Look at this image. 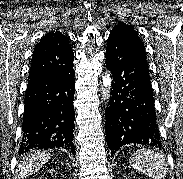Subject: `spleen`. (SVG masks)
Returning <instances> with one entry per match:
<instances>
[{
	"label": "spleen",
	"instance_id": "obj_1",
	"mask_svg": "<svg viewBox=\"0 0 183 179\" xmlns=\"http://www.w3.org/2000/svg\"><path fill=\"white\" fill-rule=\"evenodd\" d=\"M130 165L153 179H164L168 173V165L164 157L150 149H141L129 160Z\"/></svg>",
	"mask_w": 183,
	"mask_h": 179
}]
</instances>
